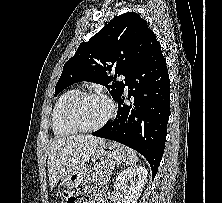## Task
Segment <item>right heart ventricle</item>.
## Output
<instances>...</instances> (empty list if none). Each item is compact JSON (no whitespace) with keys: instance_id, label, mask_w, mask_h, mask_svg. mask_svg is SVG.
<instances>
[{"instance_id":"1","label":"right heart ventricle","mask_w":222,"mask_h":203,"mask_svg":"<svg viewBox=\"0 0 222 203\" xmlns=\"http://www.w3.org/2000/svg\"><path fill=\"white\" fill-rule=\"evenodd\" d=\"M79 92L77 89H69L62 93L55 103L52 113V128L55 135L60 137L70 136L77 133L67 125L64 119V111L70 99Z\"/></svg>"}]
</instances>
